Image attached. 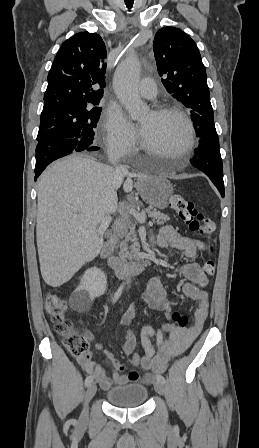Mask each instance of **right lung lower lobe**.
Segmentation results:
<instances>
[{
	"label": "right lung lower lobe",
	"instance_id": "right-lung-lower-lobe-1",
	"mask_svg": "<svg viewBox=\"0 0 259 448\" xmlns=\"http://www.w3.org/2000/svg\"><path fill=\"white\" fill-rule=\"evenodd\" d=\"M85 151H97L99 147L90 146ZM79 141L72 139H49L38 142L36 147L35 180L52 161L75 152L84 151Z\"/></svg>",
	"mask_w": 259,
	"mask_h": 448
}]
</instances>
